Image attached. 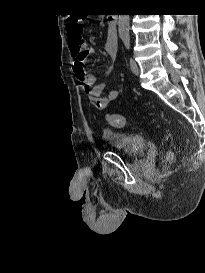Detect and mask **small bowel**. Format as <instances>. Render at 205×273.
<instances>
[{
  "instance_id": "small-bowel-1",
  "label": "small bowel",
  "mask_w": 205,
  "mask_h": 273,
  "mask_svg": "<svg viewBox=\"0 0 205 273\" xmlns=\"http://www.w3.org/2000/svg\"><path fill=\"white\" fill-rule=\"evenodd\" d=\"M69 48L73 56L72 68L75 78L81 83L93 107L99 110L105 109L110 102L118 98L119 92L118 90H110L106 96H103L105 83L98 82L95 75L86 72L85 61L88 55L95 52V49L93 47L82 49L78 43L72 41H70ZM104 49L111 59L115 58L118 50L117 39L115 40L112 35L108 34ZM109 72L110 69L108 68L106 73Z\"/></svg>"
}]
</instances>
